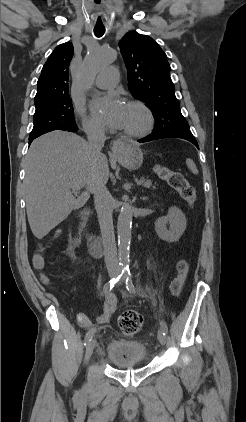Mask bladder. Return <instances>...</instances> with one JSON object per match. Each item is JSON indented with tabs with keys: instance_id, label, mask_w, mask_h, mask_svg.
Segmentation results:
<instances>
[{
	"instance_id": "bladder-1",
	"label": "bladder",
	"mask_w": 246,
	"mask_h": 422,
	"mask_svg": "<svg viewBox=\"0 0 246 422\" xmlns=\"http://www.w3.org/2000/svg\"><path fill=\"white\" fill-rule=\"evenodd\" d=\"M106 356L117 367H136L146 363L147 348L137 340L114 338L106 345Z\"/></svg>"
}]
</instances>
